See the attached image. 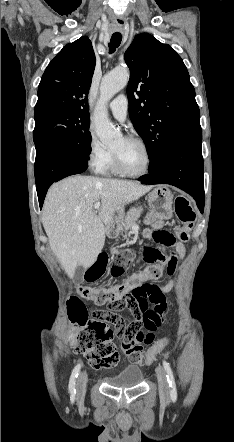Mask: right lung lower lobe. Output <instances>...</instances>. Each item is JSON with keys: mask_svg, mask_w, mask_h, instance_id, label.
Returning <instances> with one entry per match:
<instances>
[{"mask_svg": "<svg viewBox=\"0 0 234 442\" xmlns=\"http://www.w3.org/2000/svg\"><path fill=\"white\" fill-rule=\"evenodd\" d=\"M35 180L40 208L52 183L88 167V156L62 142L43 141L35 145Z\"/></svg>", "mask_w": 234, "mask_h": 442, "instance_id": "right-lung-lower-lobe-1", "label": "right lung lower lobe"}]
</instances>
